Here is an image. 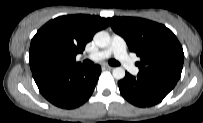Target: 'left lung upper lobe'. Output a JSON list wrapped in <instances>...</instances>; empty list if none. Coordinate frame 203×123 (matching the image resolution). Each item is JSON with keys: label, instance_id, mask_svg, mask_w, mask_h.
Returning a JSON list of instances; mask_svg holds the SVG:
<instances>
[{"label": "left lung upper lobe", "instance_id": "left-lung-upper-lobe-1", "mask_svg": "<svg viewBox=\"0 0 203 123\" xmlns=\"http://www.w3.org/2000/svg\"><path fill=\"white\" fill-rule=\"evenodd\" d=\"M112 29L122 36L130 51L140 56L136 63L146 74L179 80L184 53L174 33L162 24L135 17L108 18Z\"/></svg>", "mask_w": 203, "mask_h": 123}]
</instances>
